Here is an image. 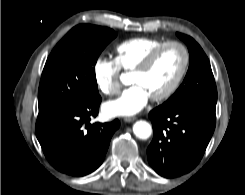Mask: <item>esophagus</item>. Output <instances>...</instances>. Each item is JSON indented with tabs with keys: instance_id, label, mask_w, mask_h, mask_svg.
Wrapping results in <instances>:
<instances>
[{
	"instance_id": "esophagus-1",
	"label": "esophagus",
	"mask_w": 245,
	"mask_h": 195,
	"mask_svg": "<svg viewBox=\"0 0 245 195\" xmlns=\"http://www.w3.org/2000/svg\"><path fill=\"white\" fill-rule=\"evenodd\" d=\"M135 120H136V117H126V118H124V121L128 122V123L133 122Z\"/></svg>"
}]
</instances>
